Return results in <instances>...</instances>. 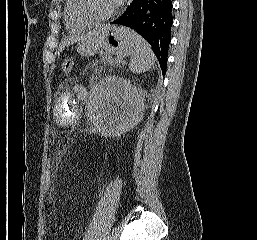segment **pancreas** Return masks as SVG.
<instances>
[{
    "label": "pancreas",
    "instance_id": "pancreas-1",
    "mask_svg": "<svg viewBox=\"0 0 257 240\" xmlns=\"http://www.w3.org/2000/svg\"><path fill=\"white\" fill-rule=\"evenodd\" d=\"M101 62L105 65L115 66L117 65V59L114 60L109 53H102Z\"/></svg>",
    "mask_w": 257,
    "mask_h": 240
}]
</instances>
